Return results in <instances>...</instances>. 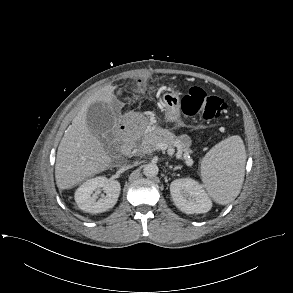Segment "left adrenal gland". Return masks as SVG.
<instances>
[{
	"label": "left adrenal gland",
	"mask_w": 293,
	"mask_h": 293,
	"mask_svg": "<svg viewBox=\"0 0 293 293\" xmlns=\"http://www.w3.org/2000/svg\"><path fill=\"white\" fill-rule=\"evenodd\" d=\"M177 169H181V166H177L174 168V170H177Z\"/></svg>",
	"instance_id": "a2214340"
}]
</instances>
